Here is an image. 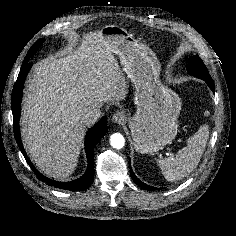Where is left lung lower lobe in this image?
<instances>
[{
	"instance_id": "0a47b994",
	"label": "left lung lower lobe",
	"mask_w": 236,
	"mask_h": 236,
	"mask_svg": "<svg viewBox=\"0 0 236 236\" xmlns=\"http://www.w3.org/2000/svg\"><path fill=\"white\" fill-rule=\"evenodd\" d=\"M197 77V76H196ZM198 78H201L202 80H204L207 85L211 88V90L214 92L215 89H214V82L212 80L211 77H198ZM129 166H130V172H131V176H132V179L139 185L141 186L142 188L144 189H147V190H156L157 188L155 187H152V186H148L147 184L143 183L142 181H140L134 174V172L132 171V168H131V165H130V162H129ZM160 189V188H158Z\"/></svg>"
}]
</instances>
